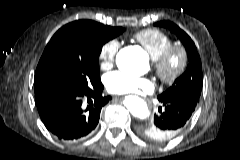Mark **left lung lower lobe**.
Here are the masks:
<instances>
[{
  "instance_id": "1",
  "label": "left lung lower lobe",
  "mask_w": 240,
  "mask_h": 160,
  "mask_svg": "<svg viewBox=\"0 0 240 160\" xmlns=\"http://www.w3.org/2000/svg\"><path fill=\"white\" fill-rule=\"evenodd\" d=\"M159 114L155 115L153 124H142L137 128L138 133L154 142L167 141L176 136L187 123L197 105L196 102L185 98L160 97Z\"/></svg>"
}]
</instances>
